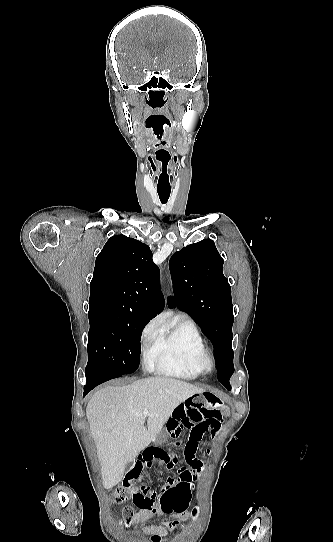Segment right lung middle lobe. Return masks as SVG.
Instances as JSON below:
<instances>
[{
  "label": "right lung middle lobe",
  "mask_w": 333,
  "mask_h": 542,
  "mask_svg": "<svg viewBox=\"0 0 333 542\" xmlns=\"http://www.w3.org/2000/svg\"><path fill=\"white\" fill-rule=\"evenodd\" d=\"M88 365L121 375L139 366L140 337L151 317L113 307L89 308Z\"/></svg>",
  "instance_id": "right-lung-middle-lobe-1"
}]
</instances>
